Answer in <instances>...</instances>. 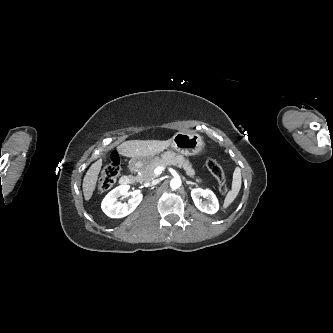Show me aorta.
I'll return each instance as SVG.
<instances>
[{
    "label": "aorta",
    "instance_id": "obj_1",
    "mask_svg": "<svg viewBox=\"0 0 333 333\" xmlns=\"http://www.w3.org/2000/svg\"><path fill=\"white\" fill-rule=\"evenodd\" d=\"M170 186L173 190L179 189L181 187V179L174 178L170 181Z\"/></svg>",
    "mask_w": 333,
    "mask_h": 333
}]
</instances>
